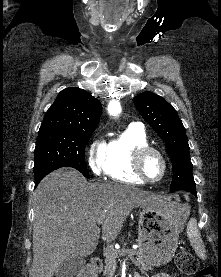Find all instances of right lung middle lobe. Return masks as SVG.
<instances>
[{
  "label": "right lung middle lobe",
  "instance_id": "right-lung-middle-lobe-1",
  "mask_svg": "<svg viewBox=\"0 0 221 277\" xmlns=\"http://www.w3.org/2000/svg\"><path fill=\"white\" fill-rule=\"evenodd\" d=\"M94 130H39L35 148V181L61 167H73L86 178L89 173L84 148Z\"/></svg>",
  "mask_w": 221,
  "mask_h": 277
}]
</instances>
